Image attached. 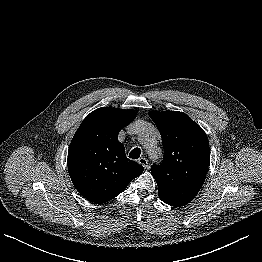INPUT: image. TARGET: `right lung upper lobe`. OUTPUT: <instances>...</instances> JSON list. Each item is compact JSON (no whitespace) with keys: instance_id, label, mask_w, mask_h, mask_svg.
Segmentation results:
<instances>
[{"instance_id":"cb5924a9","label":"right lung upper lobe","mask_w":262,"mask_h":262,"mask_svg":"<svg viewBox=\"0 0 262 262\" xmlns=\"http://www.w3.org/2000/svg\"><path fill=\"white\" fill-rule=\"evenodd\" d=\"M136 117L132 109L102 107L91 112L76 131L68 150V171L78 192L93 203L122 193L144 170L129 160L118 141L120 130Z\"/></svg>"}]
</instances>
